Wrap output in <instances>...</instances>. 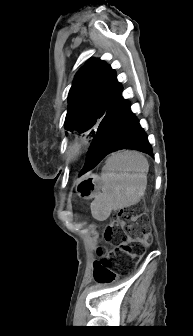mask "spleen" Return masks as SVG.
Masks as SVG:
<instances>
[{
    "mask_svg": "<svg viewBox=\"0 0 193 336\" xmlns=\"http://www.w3.org/2000/svg\"><path fill=\"white\" fill-rule=\"evenodd\" d=\"M148 170V161L140 152L122 151L112 154L101 175L102 193L91 203L92 216L104 221L112 210L138 203L146 189Z\"/></svg>",
    "mask_w": 193,
    "mask_h": 336,
    "instance_id": "obj_1",
    "label": "spleen"
}]
</instances>
